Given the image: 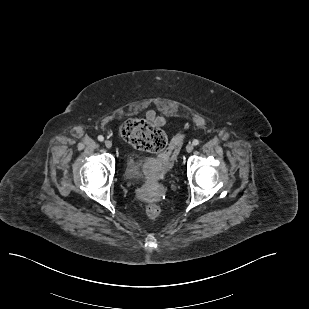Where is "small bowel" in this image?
<instances>
[{"label": "small bowel", "mask_w": 309, "mask_h": 309, "mask_svg": "<svg viewBox=\"0 0 309 309\" xmlns=\"http://www.w3.org/2000/svg\"><path fill=\"white\" fill-rule=\"evenodd\" d=\"M146 118L156 126H163L166 123V119L156 113L155 110L149 109L146 112Z\"/></svg>", "instance_id": "obj_1"}]
</instances>
